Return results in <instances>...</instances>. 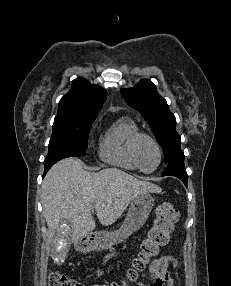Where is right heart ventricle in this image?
<instances>
[{
	"label": "right heart ventricle",
	"mask_w": 231,
	"mask_h": 286,
	"mask_svg": "<svg viewBox=\"0 0 231 286\" xmlns=\"http://www.w3.org/2000/svg\"><path fill=\"white\" fill-rule=\"evenodd\" d=\"M139 133L136 122L122 117L111 124L99 140V157L105 163L128 171L137 170L130 155V144Z\"/></svg>",
	"instance_id": "1"
}]
</instances>
